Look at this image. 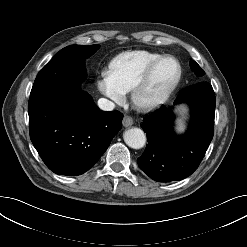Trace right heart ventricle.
<instances>
[{
  "mask_svg": "<svg viewBox=\"0 0 247 247\" xmlns=\"http://www.w3.org/2000/svg\"><path fill=\"white\" fill-rule=\"evenodd\" d=\"M160 56L147 50L124 52L112 60L110 75L124 93L130 92L148 66Z\"/></svg>",
  "mask_w": 247,
  "mask_h": 247,
  "instance_id": "obj_1",
  "label": "right heart ventricle"
}]
</instances>
